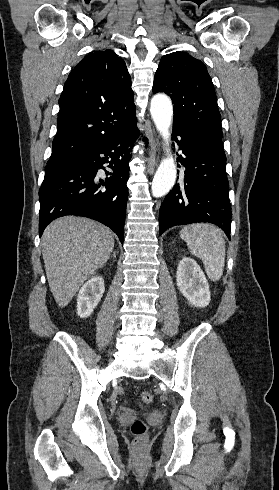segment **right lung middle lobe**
<instances>
[{"mask_svg": "<svg viewBox=\"0 0 279 490\" xmlns=\"http://www.w3.org/2000/svg\"><path fill=\"white\" fill-rule=\"evenodd\" d=\"M65 163H60V164H47L45 167V177L53 174L54 172L60 170L61 167H63Z\"/></svg>", "mask_w": 279, "mask_h": 490, "instance_id": "obj_1", "label": "right lung middle lobe"}]
</instances>
